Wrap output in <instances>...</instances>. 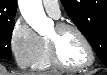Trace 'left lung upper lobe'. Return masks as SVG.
I'll use <instances>...</instances> for the list:
<instances>
[{
	"mask_svg": "<svg viewBox=\"0 0 107 75\" xmlns=\"http://www.w3.org/2000/svg\"><path fill=\"white\" fill-rule=\"evenodd\" d=\"M67 14L107 66V0H61ZM102 51V56L99 52Z\"/></svg>",
	"mask_w": 107,
	"mask_h": 75,
	"instance_id": "1",
	"label": "left lung upper lobe"
}]
</instances>
